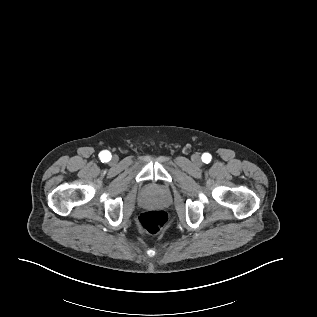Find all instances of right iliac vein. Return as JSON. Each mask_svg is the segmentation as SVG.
<instances>
[{
    "instance_id": "obj_1",
    "label": "right iliac vein",
    "mask_w": 317,
    "mask_h": 317,
    "mask_svg": "<svg viewBox=\"0 0 317 317\" xmlns=\"http://www.w3.org/2000/svg\"><path fill=\"white\" fill-rule=\"evenodd\" d=\"M113 161H116V158H113Z\"/></svg>"
}]
</instances>
